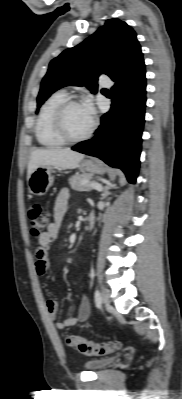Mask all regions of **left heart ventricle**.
Here are the masks:
<instances>
[{
  "instance_id": "obj_1",
  "label": "left heart ventricle",
  "mask_w": 182,
  "mask_h": 399,
  "mask_svg": "<svg viewBox=\"0 0 182 399\" xmlns=\"http://www.w3.org/2000/svg\"><path fill=\"white\" fill-rule=\"evenodd\" d=\"M92 117L84 105L71 106L65 115V124L68 133L73 137L82 136L91 125Z\"/></svg>"
}]
</instances>
